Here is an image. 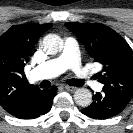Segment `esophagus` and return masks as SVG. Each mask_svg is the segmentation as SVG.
I'll return each mask as SVG.
<instances>
[{"instance_id": "esophagus-1", "label": "esophagus", "mask_w": 133, "mask_h": 133, "mask_svg": "<svg viewBox=\"0 0 133 133\" xmlns=\"http://www.w3.org/2000/svg\"><path fill=\"white\" fill-rule=\"evenodd\" d=\"M65 89L68 90V91L74 92L76 90V87L65 85Z\"/></svg>"}]
</instances>
